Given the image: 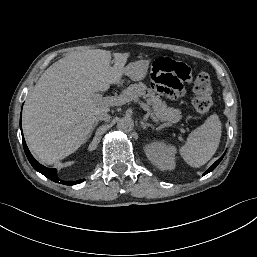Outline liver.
I'll return each mask as SVG.
<instances>
[{
    "instance_id": "obj_1",
    "label": "liver",
    "mask_w": 257,
    "mask_h": 257,
    "mask_svg": "<svg viewBox=\"0 0 257 257\" xmlns=\"http://www.w3.org/2000/svg\"><path fill=\"white\" fill-rule=\"evenodd\" d=\"M129 56L101 49L73 52L41 75L22 121L28 146L40 162L56 163L87 141L97 114L110 110L93 95L120 83Z\"/></svg>"
}]
</instances>
